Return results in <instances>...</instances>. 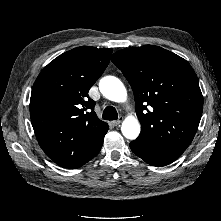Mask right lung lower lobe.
I'll use <instances>...</instances> for the list:
<instances>
[{
	"label": "right lung lower lobe",
	"mask_w": 221,
	"mask_h": 221,
	"mask_svg": "<svg viewBox=\"0 0 221 221\" xmlns=\"http://www.w3.org/2000/svg\"><path fill=\"white\" fill-rule=\"evenodd\" d=\"M102 143H103V141H102ZM102 143H101V145H100L99 151H100V149H101V147H102Z\"/></svg>",
	"instance_id": "obj_1"
}]
</instances>
